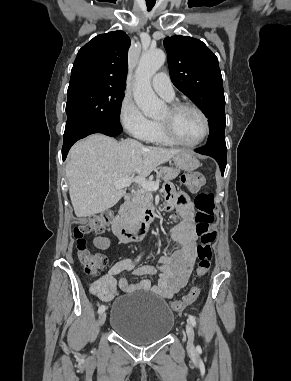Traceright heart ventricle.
Returning a JSON list of instances; mask_svg holds the SVG:
<instances>
[{
	"label": "right heart ventricle",
	"instance_id": "obj_1",
	"mask_svg": "<svg viewBox=\"0 0 291 381\" xmlns=\"http://www.w3.org/2000/svg\"><path fill=\"white\" fill-rule=\"evenodd\" d=\"M148 142L169 145L172 144L170 141L166 139V137L161 133L160 128L157 122H153L152 130L145 139Z\"/></svg>",
	"mask_w": 291,
	"mask_h": 381
}]
</instances>
